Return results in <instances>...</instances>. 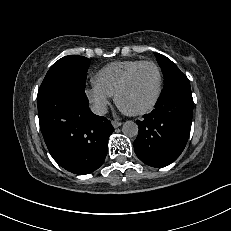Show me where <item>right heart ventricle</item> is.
<instances>
[{
  "mask_svg": "<svg viewBox=\"0 0 231 231\" xmlns=\"http://www.w3.org/2000/svg\"><path fill=\"white\" fill-rule=\"evenodd\" d=\"M142 60L115 61L101 68L94 76V83L109 95H115L127 73Z\"/></svg>",
  "mask_w": 231,
  "mask_h": 231,
  "instance_id": "1",
  "label": "right heart ventricle"
}]
</instances>
